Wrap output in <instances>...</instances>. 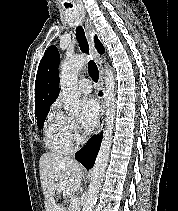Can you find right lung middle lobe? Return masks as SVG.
<instances>
[{
  "label": "right lung middle lobe",
  "mask_w": 178,
  "mask_h": 211,
  "mask_svg": "<svg viewBox=\"0 0 178 211\" xmlns=\"http://www.w3.org/2000/svg\"><path fill=\"white\" fill-rule=\"evenodd\" d=\"M48 111H49V108L44 109V110L40 111L39 113L35 114V116H37V125H38L39 128H42L45 117H46Z\"/></svg>",
  "instance_id": "1"
}]
</instances>
